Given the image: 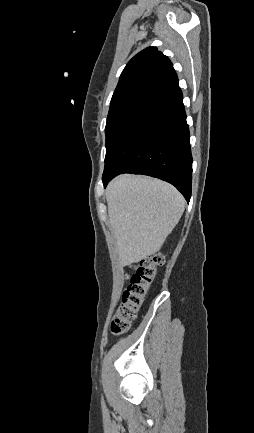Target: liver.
<instances>
[{"instance_id": "obj_1", "label": "liver", "mask_w": 254, "mask_h": 433, "mask_svg": "<svg viewBox=\"0 0 254 433\" xmlns=\"http://www.w3.org/2000/svg\"><path fill=\"white\" fill-rule=\"evenodd\" d=\"M106 197L121 266L158 252L185 208L183 196L172 185L142 176L117 177Z\"/></svg>"}]
</instances>
